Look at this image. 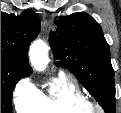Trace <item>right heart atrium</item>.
<instances>
[{
    "mask_svg": "<svg viewBox=\"0 0 121 113\" xmlns=\"http://www.w3.org/2000/svg\"><path fill=\"white\" fill-rule=\"evenodd\" d=\"M32 86L26 82H19L14 90V102L17 105L20 101L28 99L31 95Z\"/></svg>",
    "mask_w": 121,
    "mask_h": 113,
    "instance_id": "right-heart-atrium-1",
    "label": "right heart atrium"
}]
</instances>
